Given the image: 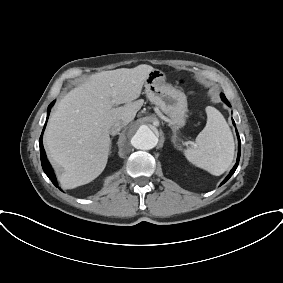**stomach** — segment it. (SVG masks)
I'll list each match as a JSON object with an SVG mask.
<instances>
[{
  "label": "stomach",
  "mask_w": 283,
  "mask_h": 283,
  "mask_svg": "<svg viewBox=\"0 0 283 283\" xmlns=\"http://www.w3.org/2000/svg\"><path fill=\"white\" fill-rule=\"evenodd\" d=\"M144 86L147 98L169 117L173 129L183 127L187 112L186 95L166 83L165 74L158 69L150 72Z\"/></svg>",
  "instance_id": "0dacf381"
}]
</instances>
